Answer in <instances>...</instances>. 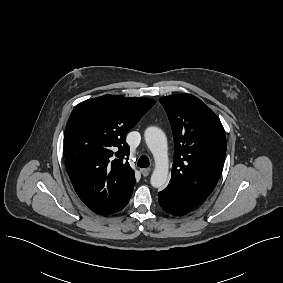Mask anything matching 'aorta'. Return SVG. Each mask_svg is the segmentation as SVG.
Here are the masks:
<instances>
[{"instance_id":"762f6f07","label":"aorta","mask_w":283,"mask_h":283,"mask_svg":"<svg viewBox=\"0 0 283 283\" xmlns=\"http://www.w3.org/2000/svg\"><path fill=\"white\" fill-rule=\"evenodd\" d=\"M146 144L153 154L155 168L150 183L154 188H162L168 180V148L165 133L157 127H148L144 133Z\"/></svg>"}]
</instances>
